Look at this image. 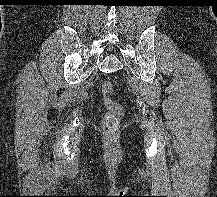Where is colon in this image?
I'll return each instance as SVG.
<instances>
[{
    "instance_id": "obj_1",
    "label": "colon",
    "mask_w": 217,
    "mask_h": 197,
    "mask_svg": "<svg viewBox=\"0 0 217 197\" xmlns=\"http://www.w3.org/2000/svg\"><path fill=\"white\" fill-rule=\"evenodd\" d=\"M113 85L110 81H104L101 85L103 102L108 109L104 119V130L107 134H113L117 131L123 114L122 106L112 99Z\"/></svg>"
}]
</instances>
